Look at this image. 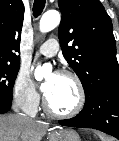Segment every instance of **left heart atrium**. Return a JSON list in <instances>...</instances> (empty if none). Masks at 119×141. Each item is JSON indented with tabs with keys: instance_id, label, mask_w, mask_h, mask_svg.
Segmentation results:
<instances>
[{
	"instance_id": "obj_1",
	"label": "left heart atrium",
	"mask_w": 119,
	"mask_h": 141,
	"mask_svg": "<svg viewBox=\"0 0 119 141\" xmlns=\"http://www.w3.org/2000/svg\"><path fill=\"white\" fill-rule=\"evenodd\" d=\"M51 84H52L51 81H46L45 83L41 85V90L45 94V96L49 92L51 88Z\"/></svg>"
}]
</instances>
